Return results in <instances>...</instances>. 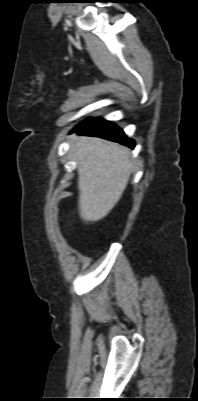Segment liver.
I'll use <instances>...</instances> for the list:
<instances>
[{
    "mask_svg": "<svg viewBox=\"0 0 198 401\" xmlns=\"http://www.w3.org/2000/svg\"><path fill=\"white\" fill-rule=\"evenodd\" d=\"M78 158V209L85 222L103 219L120 200L134 161L128 148L94 137L73 136Z\"/></svg>",
    "mask_w": 198,
    "mask_h": 401,
    "instance_id": "6515ba94",
    "label": "liver"
}]
</instances>
